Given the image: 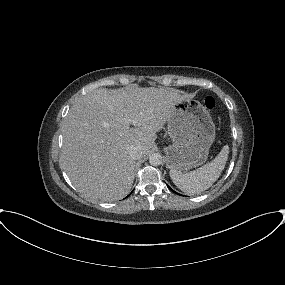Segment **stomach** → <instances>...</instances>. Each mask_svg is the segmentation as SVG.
Returning <instances> with one entry per match:
<instances>
[{"instance_id": "1", "label": "stomach", "mask_w": 285, "mask_h": 285, "mask_svg": "<svg viewBox=\"0 0 285 285\" xmlns=\"http://www.w3.org/2000/svg\"><path fill=\"white\" fill-rule=\"evenodd\" d=\"M167 130L172 140L165 148L168 168L183 171L205 163L215 139V125L202 104L185 99L175 104Z\"/></svg>"}]
</instances>
